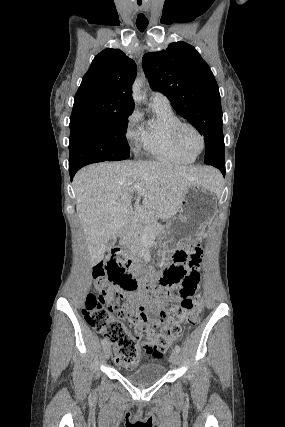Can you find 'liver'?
Returning <instances> with one entry per match:
<instances>
[{
  "instance_id": "liver-1",
  "label": "liver",
  "mask_w": 285,
  "mask_h": 427,
  "mask_svg": "<svg viewBox=\"0 0 285 427\" xmlns=\"http://www.w3.org/2000/svg\"><path fill=\"white\" fill-rule=\"evenodd\" d=\"M218 172L205 166L164 162H103L79 170L74 177L76 211L86 239L90 264L99 263L107 242L133 221L132 194L142 188L143 206L163 220L179 212L186 189L200 184L217 191Z\"/></svg>"
}]
</instances>
